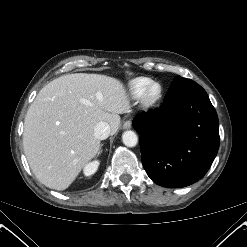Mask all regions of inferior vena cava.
Listing matches in <instances>:
<instances>
[{
	"label": "inferior vena cava",
	"mask_w": 247,
	"mask_h": 247,
	"mask_svg": "<svg viewBox=\"0 0 247 247\" xmlns=\"http://www.w3.org/2000/svg\"><path fill=\"white\" fill-rule=\"evenodd\" d=\"M110 135V127L106 122L98 123L94 128V136L98 140H104Z\"/></svg>",
	"instance_id": "1"
}]
</instances>
